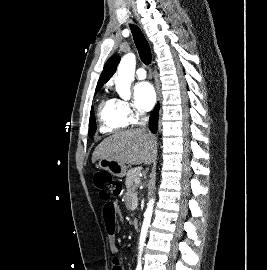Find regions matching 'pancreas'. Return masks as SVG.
I'll return each mask as SVG.
<instances>
[{
  "instance_id": "1",
  "label": "pancreas",
  "mask_w": 267,
  "mask_h": 270,
  "mask_svg": "<svg viewBox=\"0 0 267 270\" xmlns=\"http://www.w3.org/2000/svg\"><path fill=\"white\" fill-rule=\"evenodd\" d=\"M141 172V167L132 168L128 171L126 177V188H127V199L131 204L133 201L137 200L136 197V188L138 187V183L135 182L136 178H139V174Z\"/></svg>"
}]
</instances>
